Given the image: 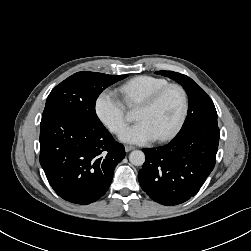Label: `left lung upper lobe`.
Returning a JSON list of instances; mask_svg holds the SVG:
<instances>
[{"instance_id":"left-lung-upper-lobe-1","label":"left lung upper lobe","mask_w":251,"mask_h":251,"mask_svg":"<svg viewBox=\"0 0 251 251\" xmlns=\"http://www.w3.org/2000/svg\"><path fill=\"white\" fill-rule=\"evenodd\" d=\"M156 74L175 80L182 85L188 95L187 117L178 134L195 127L218 126L217 112L212 100L191 78L173 71H157Z\"/></svg>"}]
</instances>
